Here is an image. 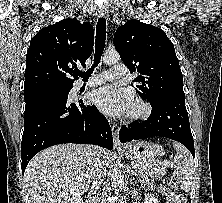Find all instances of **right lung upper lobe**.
<instances>
[{
  "instance_id": "obj_1",
  "label": "right lung upper lobe",
  "mask_w": 222,
  "mask_h": 203,
  "mask_svg": "<svg viewBox=\"0 0 222 203\" xmlns=\"http://www.w3.org/2000/svg\"><path fill=\"white\" fill-rule=\"evenodd\" d=\"M94 44L90 23L63 19L41 29L31 40L26 55L24 94L73 86V69L85 67Z\"/></svg>"
}]
</instances>
